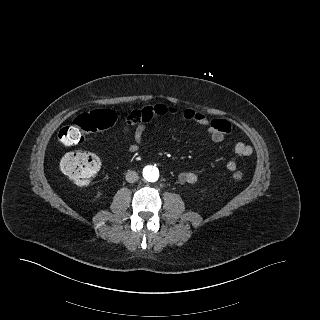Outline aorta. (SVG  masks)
Returning <instances> with one entry per match:
<instances>
[{"label": "aorta", "instance_id": "obj_1", "mask_svg": "<svg viewBox=\"0 0 320 320\" xmlns=\"http://www.w3.org/2000/svg\"><path fill=\"white\" fill-rule=\"evenodd\" d=\"M144 178L149 182H155L159 178V171L157 168L152 166H147L143 170Z\"/></svg>", "mask_w": 320, "mask_h": 320}]
</instances>
